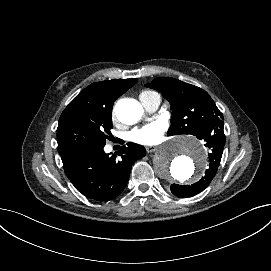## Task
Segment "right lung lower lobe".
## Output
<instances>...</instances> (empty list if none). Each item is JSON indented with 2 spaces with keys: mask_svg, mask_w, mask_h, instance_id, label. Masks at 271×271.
I'll return each mask as SVG.
<instances>
[{
  "mask_svg": "<svg viewBox=\"0 0 271 271\" xmlns=\"http://www.w3.org/2000/svg\"><path fill=\"white\" fill-rule=\"evenodd\" d=\"M110 156L104 146L85 147L63 156L64 171L75 188L86 197L100 202L116 198L126 187L133 163L146 155L144 147L128 143Z\"/></svg>",
  "mask_w": 271,
  "mask_h": 271,
  "instance_id": "right-lung-lower-lobe-1",
  "label": "right lung lower lobe"
}]
</instances>
